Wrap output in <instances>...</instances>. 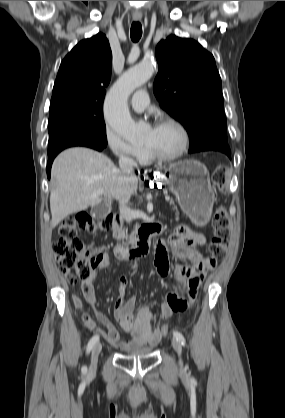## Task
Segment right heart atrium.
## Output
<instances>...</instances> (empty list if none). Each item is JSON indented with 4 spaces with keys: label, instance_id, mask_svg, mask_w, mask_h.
<instances>
[{
    "label": "right heart atrium",
    "instance_id": "right-heart-atrium-1",
    "mask_svg": "<svg viewBox=\"0 0 285 418\" xmlns=\"http://www.w3.org/2000/svg\"><path fill=\"white\" fill-rule=\"evenodd\" d=\"M104 142L108 149L120 160L134 161L145 153L143 147L130 144L111 126H107L105 129Z\"/></svg>",
    "mask_w": 285,
    "mask_h": 418
}]
</instances>
